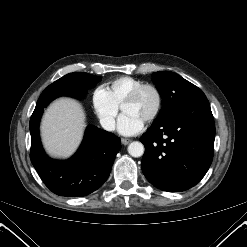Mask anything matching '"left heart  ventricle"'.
<instances>
[{"label":"left heart ventricle","mask_w":247,"mask_h":247,"mask_svg":"<svg viewBox=\"0 0 247 247\" xmlns=\"http://www.w3.org/2000/svg\"><path fill=\"white\" fill-rule=\"evenodd\" d=\"M155 105V94L151 90H146L136 101L125 105L123 112L136 115L145 121L153 112Z\"/></svg>","instance_id":"left-heart-ventricle-1"}]
</instances>
